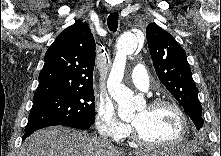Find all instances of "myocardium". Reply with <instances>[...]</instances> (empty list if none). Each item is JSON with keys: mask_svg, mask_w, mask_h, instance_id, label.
Wrapping results in <instances>:
<instances>
[{"mask_svg": "<svg viewBox=\"0 0 221 156\" xmlns=\"http://www.w3.org/2000/svg\"><path fill=\"white\" fill-rule=\"evenodd\" d=\"M164 106L174 109L176 113L178 114L180 121H181V132L179 136L174 141L168 144L153 143L145 139L143 135L141 134V132L139 131L138 127L132 123L133 137H134V140L139 145L143 147L151 148V149H160V150L170 149L182 143L184 139L186 138V136L188 135L189 128H190L189 120H188L186 112L177 102L170 100V99H156V100L151 101L148 104V107L151 110H155Z\"/></svg>", "mask_w": 221, "mask_h": 156, "instance_id": "f54148a6", "label": "myocardium"}]
</instances>
